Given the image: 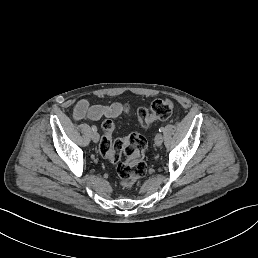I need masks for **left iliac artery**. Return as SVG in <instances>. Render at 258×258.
<instances>
[{
  "mask_svg": "<svg viewBox=\"0 0 258 258\" xmlns=\"http://www.w3.org/2000/svg\"><path fill=\"white\" fill-rule=\"evenodd\" d=\"M163 131H164V127H160L159 132H163Z\"/></svg>",
  "mask_w": 258,
  "mask_h": 258,
  "instance_id": "obj_1",
  "label": "left iliac artery"
}]
</instances>
